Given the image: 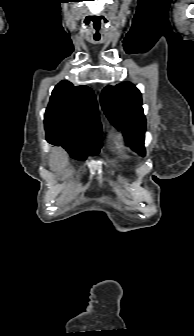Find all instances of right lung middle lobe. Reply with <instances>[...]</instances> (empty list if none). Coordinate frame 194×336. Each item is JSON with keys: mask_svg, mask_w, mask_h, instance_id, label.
I'll list each match as a JSON object with an SVG mask.
<instances>
[{"mask_svg": "<svg viewBox=\"0 0 194 336\" xmlns=\"http://www.w3.org/2000/svg\"><path fill=\"white\" fill-rule=\"evenodd\" d=\"M51 144L62 146L69 154L79 160H84L88 155H96L102 145L101 140H82L78 138H59L51 141Z\"/></svg>", "mask_w": 194, "mask_h": 336, "instance_id": "right-lung-middle-lobe-1", "label": "right lung middle lobe"}]
</instances>
